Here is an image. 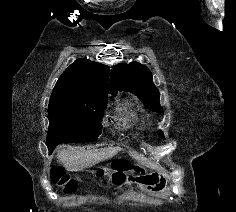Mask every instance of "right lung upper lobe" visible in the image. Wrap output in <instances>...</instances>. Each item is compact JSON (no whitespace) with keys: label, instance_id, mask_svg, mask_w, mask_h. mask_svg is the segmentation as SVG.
<instances>
[{"label":"right lung upper lobe","instance_id":"1","mask_svg":"<svg viewBox=\"0 0 236 212\" xmlns=\"http://www.w3.org/2000/svg\"><path fill=\"white\" fill-rule=\"evenodd\" d=\"M108 76V66L78 59L58 79L49 103L90 105L107 99Z\"/></svg>","mask_w":236,"mask_h":212}]
</instances>
